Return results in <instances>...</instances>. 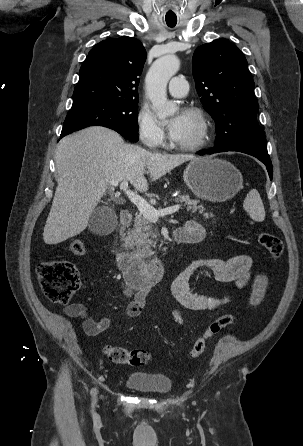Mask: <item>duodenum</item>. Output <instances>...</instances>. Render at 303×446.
I'll return each mask as SVG.
<instances>
[{
    "label": "duodenum",
    "mask_w": 303,
    "mask_h": 446,
    "mask_svg": "<svg viewBox=\"0 0 303 446\" xmlns=\"http://www.w3.org/2000/svg\"><path fill=\"white\" fill-rule=\"evenodd\" d=\"M132 221V213L123 210L120 214V223L127 226ZM175 243H188L189 239L180 230H176L172 235ZM117 265L124 273L128 287L139 289L154 284L165 272L166 263L161 257H154L151 260L138 259L128 253L120 252L117 255Z\"/></svg>",
    "instance_id": "410a0bca"
}]
</instances>
